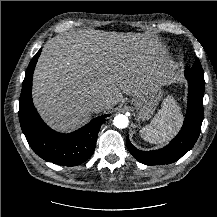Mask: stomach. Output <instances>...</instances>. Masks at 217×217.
<instances>
[{
  "label": "stomach",
  "mask_w": 217,
  "mask_h": 217,
  "mask_svg": "<svg viewBox=\"0 0 217 217\" xmlns=\"http://www.w3.org/2000/svg\"><path fill=\"white\" fill-rule=\"evenodd\" d=\"M162 98V91L159 87L143 90L136 95L131 104L137 113V119L141 121L148 120L155 111L159 101Z\"/></svg>",
  "instance_id": "stomach-1"
}]
</instances>
